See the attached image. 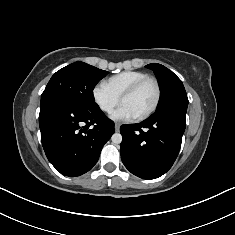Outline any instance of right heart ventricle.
<instances>
[{"mask_svg":"<svg viewBox=\"0 0 235 235\" xmlns=\"http://www.w3.org/2000/svg\"><path fill=\"white\" fill-rule=\"evenodd\" d=\"M148 77L140 71H124L110 77L105 83L118 97L139 80Z\"/></svg>","mask_w":235,"mask_h":235,"instance_id":"1","label":"right heart ventricle"}]
</instances>
